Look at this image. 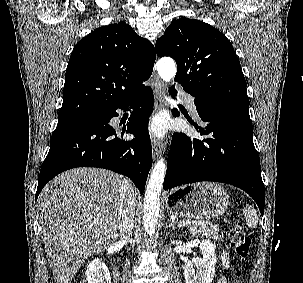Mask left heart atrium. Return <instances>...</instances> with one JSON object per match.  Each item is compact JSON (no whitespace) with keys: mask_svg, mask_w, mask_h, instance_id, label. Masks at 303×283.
<instances>
[{"mask_svg":"<svg viewBox=\"0 0 303 283\" xmlns=\"http://www.w3.org/2000/svg\"><path fill=\"white\" fill-rule=\"evenodd\" d=\"M149 129L152 134L161 136L166 129V124L163 119L157 118L151 122Z\"/></svg>","mask_w":303,"mask_h":283,"instance_id":"obj_1","label":"left heart atrium"}]
</instances>
